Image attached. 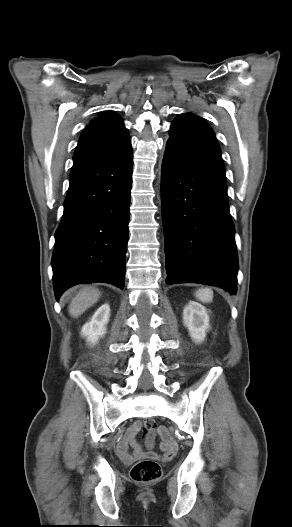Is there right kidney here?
<instances>
[{
	"mask_svg": "<svg viewBox=\"0 0 292 527\" xmlns=\"http://www.w3.org/2000/svg\"><path fill=\"white\" fill-rule=\"evenodd\" d=\"M109 317L110 307L108 304H104L97 309L92 319L81 330V334L86 337L87 342L94 345L97 343L99 337L106 333V324L109 321Z\"/></svg>",
	"mask_w": 292,
	"mask_h": 527,
	"instance_id": "ca27d5eb",
	"label": "right kidney"
}]
</instances>
